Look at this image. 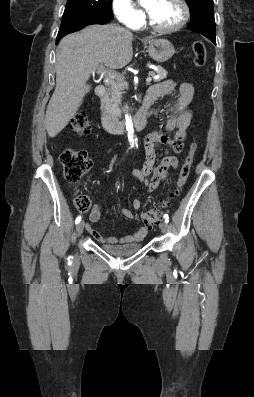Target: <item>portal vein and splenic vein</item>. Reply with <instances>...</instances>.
<instances>
[{
    "instance_id": "obj_1",
    "label": "portal vein and splenic vein",
    "mask_w": 254,
    "mask_h": 397,
    "mask_svg": "<svg viewBox=\"0 0 254 397\" xmlns=\"http://www.w3.org/2000/svg\"><path fill=\"white\" fill-rule=\"evenodd\" d=\"M97 74L101 75V76H105L109 79H119L120 75L112 70H108L105 69V67L103 65H100L96 71ZM158 78V77H156ZM152 81V78L150 77V75L147 77L146 82L150 83Z\"/></svg>"
}]
</instances>
